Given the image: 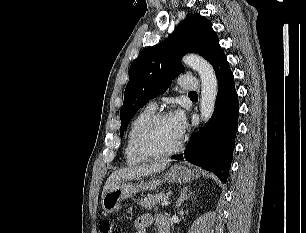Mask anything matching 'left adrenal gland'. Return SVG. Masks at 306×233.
<instances>
[{"instance_id":"1","label":"left adrenal gland","mask_w":306,"mask_h":233,"mask_svg":"<svg viewBox=\"0 0 306 233\" xmlns=\"http://www.w3.org/2000/svg\"><path fill=\"white\" fill-rule=\"evenodd\" d=\"M188 192V187H184L182 188L181 192H180V197L178 198L177 202H176V208H179L182 204V202H184L185 200H187L188 198H190V196L192 195V192Z\"/></svg>"}]
</instances>
